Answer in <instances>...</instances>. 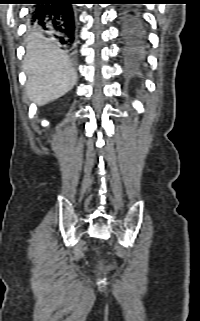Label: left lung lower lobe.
Listing matches in <instances>:
<instances>
[{
	"instance_id": "0a47b994",
	"label": "left lung lower lobe",
	"mask_w": 200,
	"mask_h": 321,
	"mask_svg": "<svg viewBox=\"0 0 200 321\" xmlns=\"http://www.w3.org/2000/svg\"><path fill=\"white\" fill-rule=\"evenodd\" d=\"M145 0H122L121 4H141ZM121 36L130 52H139L146 43L143 27L134 11H124L120 18Z\"/></svg>"
}]
</instances>
